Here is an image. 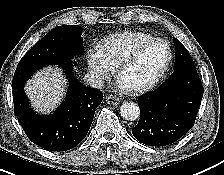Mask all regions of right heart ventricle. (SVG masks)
I'll return each instance as SVG.
<instances>
[{"instance_id": "right-heart-ventricle-1", "label": "right heart ventricle", "mask_w": 224, "mask_h": 175, "mask_svg": "<svg viewBox=\"0 0 224 175\" xmlns=\"http://www.w3.org/2000/svg\"><path fill=\"white\" fill-rule=\"evenodd\" d=\"M154 39L150 34L125 31L105 37L98 45L103 58L114 68L143 43Z\"/></svg>"}]
</instances>
